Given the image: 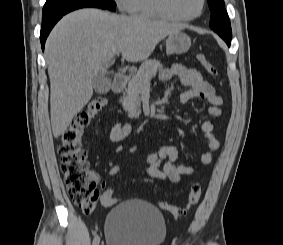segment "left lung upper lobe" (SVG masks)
<instances>
[{
	"instance_id": "left-lung-upper-lobe-1",
	"label": "left lung upper lobe",
	"mask_w": 283,
	"mask_h": 245,
	"mask_svg": "<svg viewBox=\"0 0 283 245\" xmlns=\"http://www.w3.org/2000/svg\"><path fill=\"white\" fill-rule=\"evenodd\" d=\"M207 1L211 10L210 27L225 41L231 40V26L224 0Z\"/></svg>"
}]
</instances>
